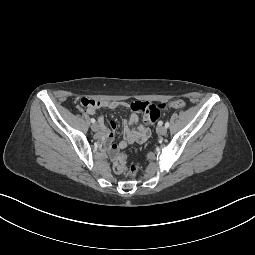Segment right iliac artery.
Masks as SVG:
<instances>
[{"instance_id":"82829eb1","label":"right iliac artery","mask_w":255,"mask_h":255,"mask_svg":"<svg viewBox=\"0 0 255 255\" xmlns=\"http://www.w3.org/2000/svg\"><path fill=\"white\" fill-rule=\"evenodd\" d=\"M91 122H92V123H95L96 121H95V119H94V118H91Z\"/></svg>"}]
</instances>
